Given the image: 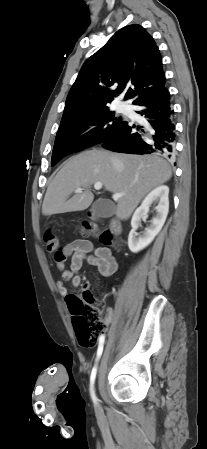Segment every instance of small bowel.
Masks as SVG:
<instances>
[{"label":"small bowel","mask_w":207,"mask_h":449,"mask_svg":"<svg viewBox=\"0 0 207 449\" xmlns=\"http://www.w3.org/2000/svg\"><path fill=\"white\" fill-rule=\"evenodd\" d=\"M66 257L70 256V268L66 269L62 262L58 263L61 271V279L57 282V289L62 297H67L68 289L65 282H71L72 286L77 288L81 284L80 270L84 261L98 268L101 275L105 277L112 276L117 268L118 262L112 251L108 247H96L88 239H75L66 244L63 248ZM112 313L107 312L105 321L110 323Z\"/></svg>","instance_id":"c3829d8e"}]
</instances>
